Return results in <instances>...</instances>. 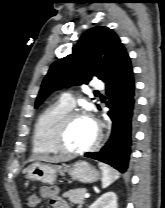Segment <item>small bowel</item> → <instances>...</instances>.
<instances>
[{
    "mask_svg": "<svg viewBox=\"0 0 165 208\" xmlns=\"http://www.w3.org/2000/svg\"><path fill=\"white\" fill-rule=\"evenodd\" d=\"M41 196L50 201L52 208H70L59 196V188L55 186H43L40 190Z\"/></svg>",
    "mask_w": 165,
    "mask_h": 208,
    "instance_id": "c3829d8e",
    "label": "small bowel"
}]
</instances>
